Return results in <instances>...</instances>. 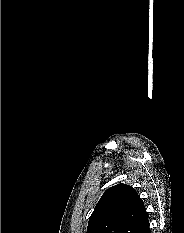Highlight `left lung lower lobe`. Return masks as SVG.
I'll return each instance as SVG.
<instances>
[{
  "mask_svg": "<svg viewBox=\"0 0 184 233\" xmlns=\"http://www.w3.org/2000/svg\"><path fill=\"white\" fill-rule=\"evenodd\" d=\"M144 233H151L149 226Z\"/></svg>",
  "mask_w": 184,
  "mask_h": 233,
  "instance_id": "0a47b994",
  "label": "left lung lower lobe"
}]
</instances>
